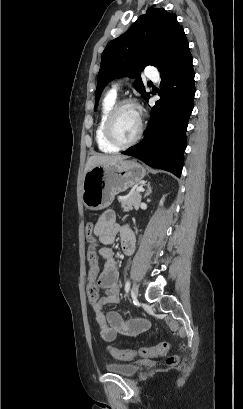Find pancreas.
<instances>
[{"label": "pancreas", "mask_w": 243, "mask_h": 409, "mask_svg": "<svg viewBox=\"0 0 243 409\" xmlns=\"http://www.w3.org/2000/svg\"><path fill=\"white\" fill-rule=\"evenodd\" d=\"M118 201L121 203L124 212H128L133 208L138 210L141 202V193L138 191H132L127 196L118 197Z\"/></svg>", "instance_id": "obj_1"}]
</instances>
